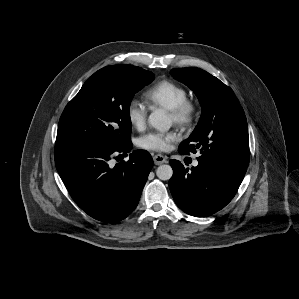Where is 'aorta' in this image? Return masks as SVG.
Masks as SVG:
<instances>
[{
    "instance_id": "aorta-1",
    "label": "aorta",
    "mask_w": 299,
    "mask_h": 299,
    "mask_svg": "<svg viewBox=\"0 0 299 299\" xmlns=\"http://www.w3.org/2000/svg\"><path fill=\"white\" fill-rule=\"evenodd\" d=\"M149 124L162 132L168 131L171 127V119L164 110L153 111L148 118ZM156 175L161 180H169L173 175V169L170 165H160L156 170Z\"/></svg>"
}]
</instances>
